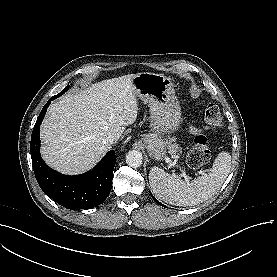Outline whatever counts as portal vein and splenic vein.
<instances>
[{
	"label": "portal vein and splenic vein",
	"mask_w": 277,
	"mask_h": 277,
	"mask_svg": "<svg viewBox=\"0 0 277 277\" xmlns=\"http://www.w3.org/2000/svg\"><path fill=\"white\" fill-rule=\"evenodd\" d=\"M166 162L169 164V166H171V167H176V168H179L180 169V171L182 172V176L185 178V180L186 181H188V176L186 175V172H185V170L181 167V166H179L177 163H176V161H172V160H170L169 158H166Z\"/></svg>",
	"instance_id": "1"
}]
</instances>
